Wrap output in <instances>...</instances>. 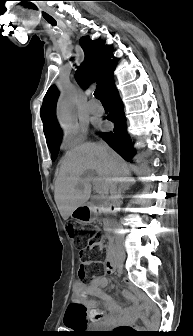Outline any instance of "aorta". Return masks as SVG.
Returning <instances> with one entry per match:
<instances>
[{"label":"aorta","mask_w":193,"mask_h":336,"mask_svg":"<svg viewBox=\"0 0 193 336\" xmlns=\"http://www.w3.org/2000/svg\"><path fill=\"white\" fill-rule=\"evenodd\" d=\"M76 93L72 86H63L57 103V119L65 130L77 127Z\"/></svg>","instance_id":"aorta-1"}]
</instances>
